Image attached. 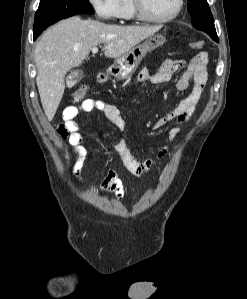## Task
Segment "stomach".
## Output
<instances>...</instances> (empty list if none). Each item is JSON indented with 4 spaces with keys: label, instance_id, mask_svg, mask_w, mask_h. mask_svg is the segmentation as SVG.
I'll list each match as a JSON object with an SVG mask.
<instances>
[{
    "label": "stomach",
    "instance_id": "1",
    "mask_svg": "<svg viewBox=\"0 0 247 299\" xmlns=\"http://www.w3.org/2000/svg\"><path fill=\"white\" fill-rule=\"evenodd\" d=\"M165 41V37L162 35L149 37L143 43L136 45L125 54L116 58L109 73L120 80L130 78L137 70L143 58L151 51L163 45Z\"/></svg>",
    "mask_w": 247,
    "mask_h": 299
}]
</instances>
